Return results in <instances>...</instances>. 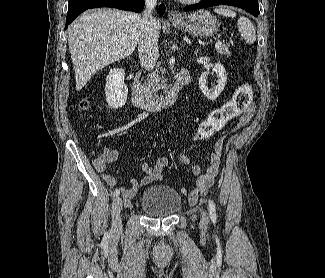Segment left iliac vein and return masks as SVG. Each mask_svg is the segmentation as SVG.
I'll return each instance as SVG.
<instances>
[{"label":"left iliac vein","mask_w":325,"mask_h":278,"mask_svg":"<svg viewBox=\"0 0 325 278\" xmlns=\"http://www.w3.org/2000/svg\"><path fill=\"white\" fill-rule=\"evenodd\" d=\"M202 222L207 223L208 222V217L206 216V213L203 211L202 212Z\"/></svg>","instance_id":"1"}]
</instances>
